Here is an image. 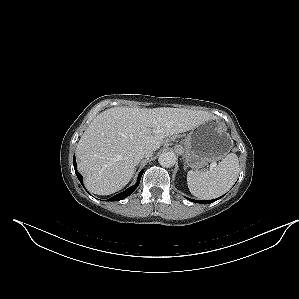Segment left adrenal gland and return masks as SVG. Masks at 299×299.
I'll list each match as a JSON object with an SVG mask.
<instances>
[{
  "label": "left adrenal gland",
  "mask_w": 299,
  "mask_h": 299,
  "mask_svg": "<svg viewBox=\"0 0 299 299\" xmlns=\"http://www.w3.org/2000/svg\"><path fill=\"white\" fill-rule=\"evenodd\" d=\"M184 170H186V165H184Z\"/></svg>",
  "instance_id": "obj_1"
}]
</instances>
